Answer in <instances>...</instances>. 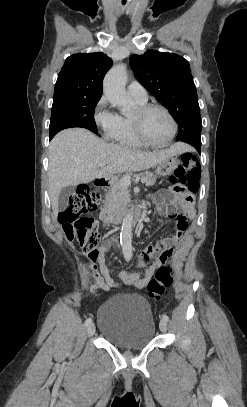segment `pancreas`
Here are the masks:
<instances>
[{
    "mask_svg": "<svg viewBox=\"0 0 247 407\" xmlns=\"http://www.w3.org/2000/svg\"><path fill=\"white\" fill-rule=\"evenodd\" d=\"M136 177L144 180L146 186H153L156 183V176L151 172H144L136 175ZM129 201V194L127 185L123 183L122 179L116 181L109 192L106 194V202L110 205L119 207L126 205Z\"/></svg>",
    "mask_w": 247,
    "mask_h": 407,
    "instance_id": "1",
    "label": "pancreas"
}]
</instances>
